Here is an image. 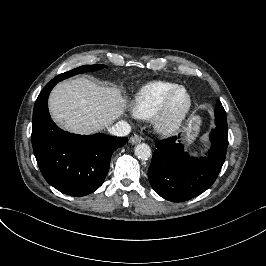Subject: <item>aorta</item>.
<instances>
[{
  "mask_svg": "<svg viewBox=\"0 0 266 266\" xmlns=\"http://www.w3.org/2000/svg\"><path fill=\"white\" fill-rule=\"evenodd\" d=\"M135 155L139 160L147 161L152 156V151L149 145L141 143L135 148Z\"/></svg>",
  "mask_w": 266,
  "mask_h": 266,
  "instance_id": "aorta-1",
  "label": "aorta"
}]
</instances>
